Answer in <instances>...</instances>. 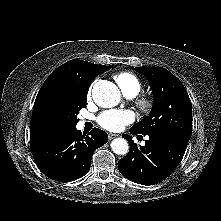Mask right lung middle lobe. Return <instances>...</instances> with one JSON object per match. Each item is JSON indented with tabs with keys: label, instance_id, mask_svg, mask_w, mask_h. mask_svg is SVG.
<instances>
[{
	"label": "right lung middle lobe",
	"instance_id": "obj_1",
	"mask_svg": "<svg viewBox=\"0 0 221 221\" xmlns=\"http://www.w3.org/2000/svg\"><path fill=\"white\" fill-rule=\"evenodd\" d=\"M116 65L113 66L115 68ZM87 104V96L62 95L57 97L48 107L47 124L53 131L76 126L77 115Z\"/></svg>",
	"mask_w": 221,
	"mask_h": 221
}]
</instances>
